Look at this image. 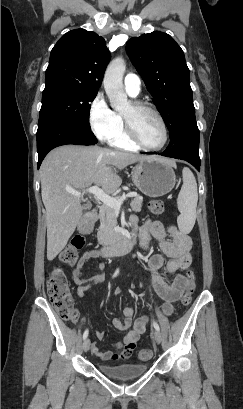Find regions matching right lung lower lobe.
I'll return each mask as SVG.
<instances>
[{"label": "right lung lower lobe", "instance_id": "98d812e1", "mask_svg": "<svg viewBox=\"0 0 243 409\" xmlns=\"http://www.w3.org/2000/svg\"><path fill=\"white\" fill-rule=\"evenodd\" d=\"M36 138L38 168L46 154L55 147L66 144L93 145L97 143L91 129L65 123H51L38 129Z\"/></svg>", "mask_w": 243, "mask_h": 409}]
</instances>
